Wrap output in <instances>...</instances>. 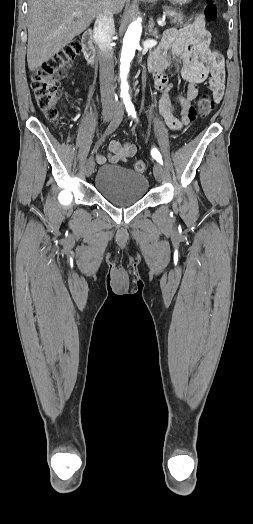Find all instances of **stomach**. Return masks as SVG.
<instances>
[{
  "label": "stomach",
  "mask_w": 253,
  "mask_h": 524,
  "mask_svg": "<svg viewBox=\"0 0 253 524\" xmlns=\"http://www.w3.org/2000/svg\"><path fill=\"white\" fill-rule=\"evenodd\" d=\"M146 1L155 2L156 0H146ZM173 1L176 2V3L183 4V3L191 2L192 0H173Z\"/></svg>",
  "instance_id": "0dacf381"
}]
</instances>
